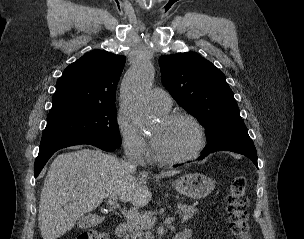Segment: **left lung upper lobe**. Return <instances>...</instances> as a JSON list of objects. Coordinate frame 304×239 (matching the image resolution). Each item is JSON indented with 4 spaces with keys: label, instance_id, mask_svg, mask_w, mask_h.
<instances>
[{
    "label": "left lung upper lobe",
    "instance_id": "left-lung-upper-lobe-1",
    "mask_svg": "<svg viewBox=\"0 0 304 239\" xmlns=\"http://www.w3.org/2000/svg\"><path fill=\"white\" fill-rule=\"evenodd\" d=\"M162 83L185 110L206 128L211 150L253 142L225 75L197 53L161 56Z\"/></svg>",
    "mask_w": 304,
    "mask_h": 239
}]
</instances>
